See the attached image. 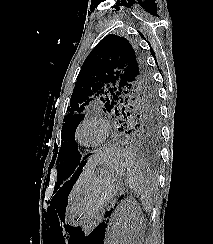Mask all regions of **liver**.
Here are the masks:
<instances>
[{"mask_svg":"<svg viewBox=\"0 0 213 244\" xmlns=\"http://www.w3.org/2000/svg\"><path fill=\"white\" fill-rule=\"evenodd\" d=\"M108 157H109V152L99 153V154L93 155L88 160V163H87V165L85 167V171L82 174V176L80 177V180H79L78 184L75 187V192L78 189V187H80L84 183V180L88 177L89 173L94 171L95 167L98 164L105 162L108 159Z\"/></svg>","mask_w":213,"mask_h":244,"instance_id":"1","label":"liver"}]
</instances>
